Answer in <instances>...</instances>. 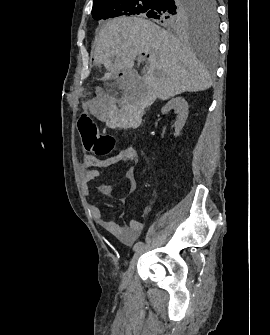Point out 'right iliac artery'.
<instances>
[{
  "mask_svg": "<svg viewBox=\"0 0 270 335\" xmlns=\"http://www.w3.org/2000/svg\"><path fill=\"white\" fill-rule=\"evenodd\" d=\"M143 245H144L143 242H137V243L134 245L133 250L136 251L137 249L141 248Z\"/></svg>",
  "mask_w": 270,
  "mask_h": 335,
  "instance_id": "1",
  "label": "right iliac artery"
}]
</instances>
